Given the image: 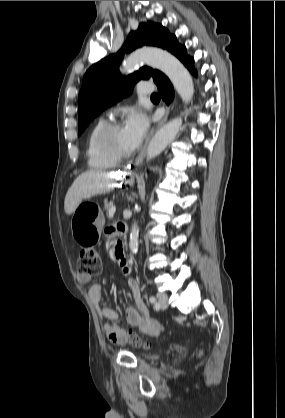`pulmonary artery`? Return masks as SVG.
Here are the masks:
<instances>
[{
  "label": "pulmonary artery",
  "mask_w": 285,
  "mask_h": 418,
  "mask_svg": "<svg viewBox=\"0 0 285 418\" xmlns=\"http://www.w3.org/2000/svg\"><path fill=\"white\" fill-rule=\"evenodd\" d=\"M154 87L152 85H140L137 88V93L139 95H146V94H150L151 92H153Z\"/></svg>",
  "instance_id": "1"
}]
</instances>
